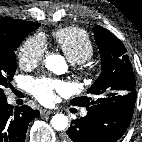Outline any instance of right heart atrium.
<instances>
[{
    "instance_id": "obj_1",
    "label": "right heart atrium",
    "mask_w": 142,
    "mask_h": 142,
    "mask_svg": "<svg viewBox=\"0 0 142 142\" xmlns=\"http://www.w3.org/2000/svg\"><path fill=\"white\" fill-rule=\"evenodd\" d=\"M46 51V42L42 34L29 36L18 50L19 63L22 67L33 68L39 65Z\"/></svg>"
}]
</instances>
